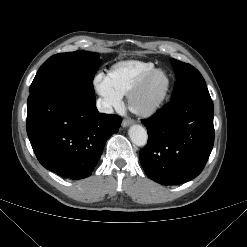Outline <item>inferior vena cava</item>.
Returning <instances> with one entry per match:
<instances>
[{
    "label": "inferior vena cava",
    "mask_w": 247,
    "mask_h": 247,
    "mask_svg": "<svg viewBox=\"0 0 247 247\" xmlns=\"http://www.w3.org/2000/svg\"><path fill=\"white\" fill-rule=\"evenodd\" d=\"M97 109L102 113L112 114L114 112L112 106L104 99L99 98L96 103Z\"/></svg>",
    "instance_id": "1"
}]
</instances>
